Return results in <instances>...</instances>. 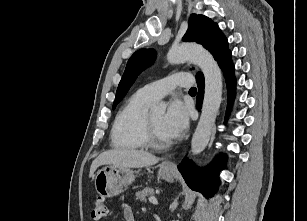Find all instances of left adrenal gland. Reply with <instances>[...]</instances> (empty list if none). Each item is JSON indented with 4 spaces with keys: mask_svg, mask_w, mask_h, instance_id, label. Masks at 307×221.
<instances>
[{
    "mask_svg": "<svg viewBox=\"0 0 307 221\" xmlns=\"http://www.w3.org/2000/svg\"><path fill=\"white\" fill-rule=\"evenodd\" d=\"M177 206H178V201L175 200V201L173 202V204L171 205V212H174V210H176Z\"/></svg>",
    "mask_w": 307,
    "mask_h": 221,
    "instance_id": "left-adrenal-gland-1",
    "label": "left adrenal gland"
}]
</instances>
